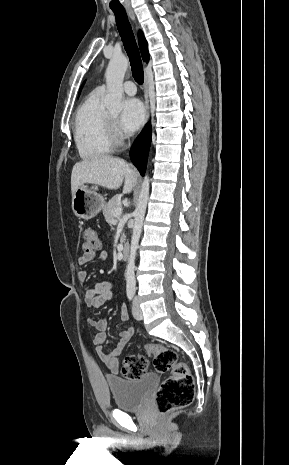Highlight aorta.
<instances>
[{
    "label": "aorta",
    "mask_w": 289,
    "mask_h": 465,
    "mask_svg": "<svg viewBox=\"0 0 289 465\" xmlns=\"http://www.w3.org/2000/svg\"><path fill=\"white\" fill-rule=\"evenodd\" d=\"M128 68V59L125 56L113 57L106 69L105 78L107 84V95L104 104L113 112H121L123 109V81ZM150 179L144 177L136 209L134 211V227L131 237L130 255L126 267L127 291L136 290L135 258L145 217L147 202L149 198Z\"/></svg>",
    "instance_id": "762f6f07"
}]
</instances>
